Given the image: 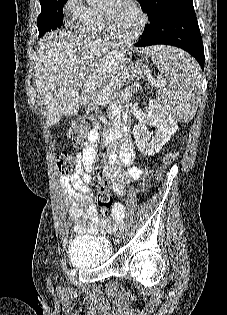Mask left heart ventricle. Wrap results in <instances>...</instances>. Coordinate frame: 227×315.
<instances>
[{
	"mask_svg": "<svg viewBox=\"0 0 227 315\" xmlns=\"http://www.w3.org/2000/svg\"><path fill=\"white\" fill-rule=\"evenodd\" d=\"M101 11L108 15L113 29L120 35H132L138 28L139 17L126 0H106Z\"/></svg>",
	"mask_w": 227,
	"mask_h": 315,
	"instance_id": "1",
	"label": "left heart ventricle"
}]
</instances>
